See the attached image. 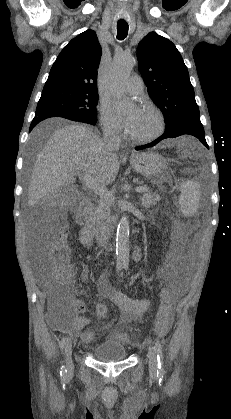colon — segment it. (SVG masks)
<instances>
[{"mask_svg":"<svg viewBox=\"0 0 231 419\" xmlns=\"http://www.w3.org/2000/svg\"><path fill=\"white\" fill-rule=\"evenodd\" d=\"M176 246L171 244L167 254L172 256ZM48 263V279L53 287H58L65 282H70L74 273V266L70 261V247L63 235L56 237L48 246L47 253ZM177 292L176 284H166L165 290H161L159 296L163 299L162 305L157 313L155 322V332L160 336H164L167 332L171 302L173 293ZM101 317H106L107 309L101 306L98 309ZM126 339V337H123Z\"/></svg>","mask_w":231,"mask_h":419,"instance_id":"5ec220e1","label":"colon"}]
</instances>
